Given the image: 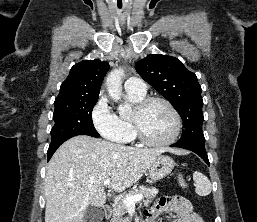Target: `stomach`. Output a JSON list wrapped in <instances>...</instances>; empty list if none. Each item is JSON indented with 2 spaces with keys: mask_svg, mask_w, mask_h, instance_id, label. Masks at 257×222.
Masks as SVG:
<instances>
[{
  "mask_svg": "<svg viewBox=\"0 0 257 222\" xmlns=\"http://www.w3.org/2000/svg\"><path fill=\"white\" fill-rule=\"evenodd\" d=\"M174 168V161L166 155H159L148 168L151 181H158L166 177Z\"/></svg>",
  "mask_w": 257,
  "mask_h": 222,
  "instance_id": "0dacf381",
  "label": "stomach"
}]
</instances>
